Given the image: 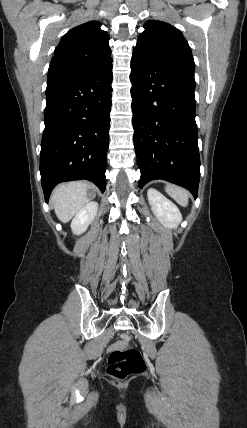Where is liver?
Listing matches in <instances>:
<instances>
[{"label": "liver", "mask_w": 247, "mask_h": 428, "mask_svg": "<svg viewBox=\"0 0 247 428\" xmlns=\"http://www.w3.org/2000/svg\"><path fill=\"white\" fill-rule=\"evenodd\" d=\"M90 188H92L90 183L74 181L60 184L53 190L51 200L61 222H69L89 202L87 191Z\"/></svg>", "instance_id": "6515ba94"}]
</instances>
